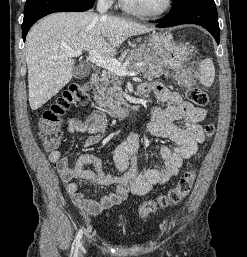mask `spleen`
Listing matches in <instances>:
<instances>
[{"label": "spleen", "instance_id": "3e777b00", "mask_svg": "<svg viewBox=\"0 0 247 257\" xmlns=\"http://www.w3.org/2000/svg\"><path fill=\"white\" fill-rule=\"evenodd\" d=\"M215 69L211 59L207 58L200 64L199 80L205 87H210L214 82Z\"/></svg>", "mask_w": 247, "mask_h": 257}]
</instances>
